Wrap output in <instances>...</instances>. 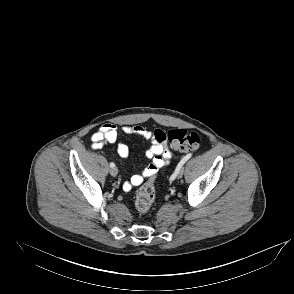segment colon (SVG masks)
<instances>
[{"label":"colon","mask_w":294,"mask_h":294,"mask_svg":"<svg viewBox=\"0 0 294 294\" xmlns=\"http://www.w3.org/2000/svg\"><path fill=\"white\" fill-rule=\"evenodd\" d=\"M158 141L169 143L173 149L181 151H194L201 145V137L198 133L188 132L184 129H171L168 131L156 130ZM155 200L154 179L143 184L137 191L135 206L141 215L147 214Z\"/></svg>","instance_id":"1"}]
</instances>
